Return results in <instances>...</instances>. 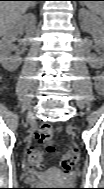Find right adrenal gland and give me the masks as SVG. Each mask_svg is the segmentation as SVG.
Listing matches in <instances>:
<instances>
[{
    "mask_svg": "<svg viewBox=\"0 0 104 189\" xmlns=\"http://www.w3.org/2000/svg\"><path fill=\"white\" fill-rule=\"evenodd\" d=\"M35 5H36V3H33V4L31 5V8H34V7H35Z\"/></svg>",
    "mask_w": 104,
    "mask_h": 189,
    "instance_id": "obj_1",
    "label": "right adrenal gland"
}]
</instances>
